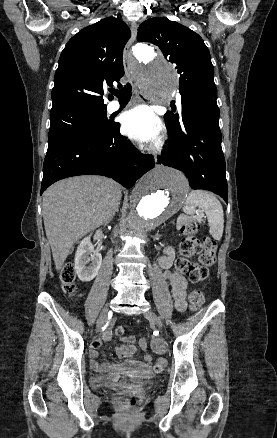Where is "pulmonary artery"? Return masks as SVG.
Wrapping results in <instances>:
<instances>
[{
	"instance_id": "pulmonary-artery-1",
	"label": "pulmonary artery",
	"mask_w": 277,
	"mask_h": 438,
	"mask_svg": "<svg viewBox=\"0 0 277 438\" xmlns=\"http://www.w3.org/2000/svg\"><path fill=\"white\" fill-rule=\"evenodd\" d=\"M118 107H119V105H118V104H115L114 107H113V110H117Z\"/></svg>"
}]
</instances>
